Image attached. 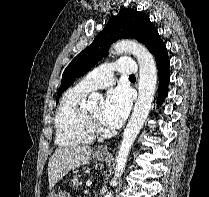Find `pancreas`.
I'll return each mask as SVG.
<instances>
[{"instance_id": "pancreas-1", "label": "pancreas", "mask_w": 209, "mask_h": 197, "mask_svg": "<svg viewBox=\"0 0 209 197\" xmlns=\"http://www.w3.org/2000/svg\"><path fill=\"white\" fill-rule=\"evenodd\" d=\"M71 185L73 188H78L81 185L80 175H75L71 180Z\"/></svg>"}]
</instances>
